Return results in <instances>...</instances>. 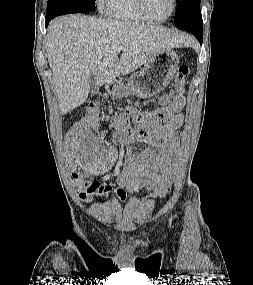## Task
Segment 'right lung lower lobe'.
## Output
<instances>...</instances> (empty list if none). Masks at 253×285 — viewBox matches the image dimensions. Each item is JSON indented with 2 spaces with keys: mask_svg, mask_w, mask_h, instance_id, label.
<instances>
[{
  "mask_svg": "<svg viewBox=\"0 0 253 285\" xmlns=\"http://www.w3.org/2000/svg\"><path fill=\"white\" fill-rule=\"evenodd\" d=\"M54 17L52 16H46V27L48 26L49 22L51 21V19H53Z\"/></svg>",
  "mask_w": 253,
  "mask_h": 285,
  "instance_id": "obj_1",
  "label": "right lung lower lobe"
}]
</instances>
